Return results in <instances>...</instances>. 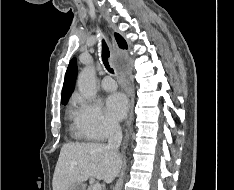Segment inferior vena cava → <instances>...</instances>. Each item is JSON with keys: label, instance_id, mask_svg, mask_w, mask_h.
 <instances>
[{"label": "inferior vena cava", "instance_id": "1", "mask_svg": "<svg viewBox=\"0 0 234 190\" xmlns=\"http://www.w3.org/2000/svg\"><path fill=\"white\" fill-rule=\"evenodd\" d=\"M122 141V130L118 123L111 122L109 126V139L106 146L107 150L114 155H119L118 148Z\"/></svg>", "mask_w": 234, "mask_h": 190}]
</instances>
